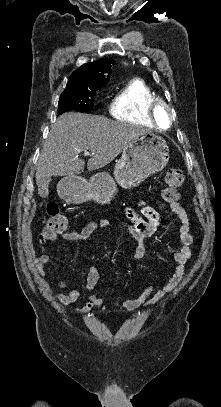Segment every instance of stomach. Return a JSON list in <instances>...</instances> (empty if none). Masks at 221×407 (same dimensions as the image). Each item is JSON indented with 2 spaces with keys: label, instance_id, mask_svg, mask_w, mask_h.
Wrapping results in <instances>:
<instances>
[{
  "label": "stomach",
  "instance_id": "obj_1",
  "mask_svg": "<svg viewBox=\"0 0 221 407\" xmlns=\"http://www.w3.org/2000/svg\"><path fill=\"white\" fill-rule=\"evenodd\" d=\"M169 160V146L160 135L147 132L122 151L114 168V179L106 172L94 174L90 180L67 176L58 184L59 195L68 203L81 204L93 200L104 205L110 203L117 192V184L130 189L149 176L162 171Z\"/></svg>",
  "mask_w": 221,
  "mask_h": 407
}]
</instances>
